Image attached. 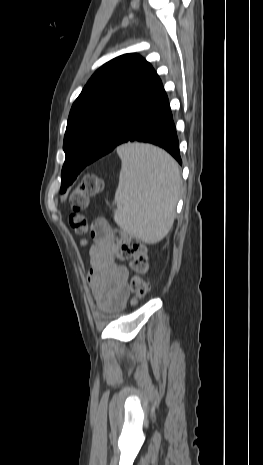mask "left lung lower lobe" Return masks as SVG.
<instances>
[{"label":"left lung lower lobe","mask_w":263,"mask_h":465,"mask_svg":"<svg viewBox=\"0 0 263 465\" xmlns=\"http://www.w3.org/2000/svg\"><path fill=\"white\" fill-rule=\"evenodd\" d=\"M126 142L155 144L182 164L169 101L154 69L149 72L136 96L118 110L91 157L81 161L69 156L65 159L62 175L67 177L68 184H72L77 176V168L86 167Z\"/></svg>","instance_id":"0a47b994"}]
</instances>
